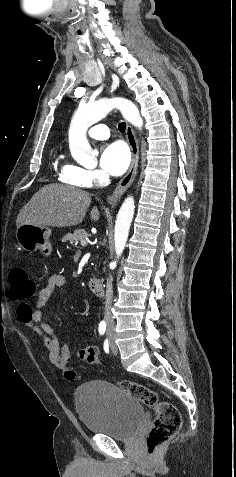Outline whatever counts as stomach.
I'll use <instances>...</instances> for the list:
<instances>
[{
    "label": "stomach",
    "instance_id": "obj_1",
    "mask_svg": "<svg viewBox=\"0 0 236 477\" xmlns=\"http://www.w3.org/2000/svg\"><path fill=\"white\" fill-rule=\"evenodd\" d=\"M50 235L49 227H38L32 224L21 225L16 230V239L23 250L39 251L44 256H49L52 253Z\"/></svg>",
    "mask_w": 236,
    "mask_h": 477
}]
</instances>
